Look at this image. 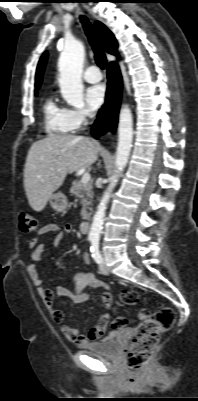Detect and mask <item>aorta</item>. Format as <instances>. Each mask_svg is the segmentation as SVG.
Returning <instances> with one entry per match:
<instances>
[{
    "label": "aorta",
    "instance_id": "1",
    "mask_svg": "<svg viewBox=\"0 0 198 401\" xmlns=\"http://www.w3.org/2000/svg\"><path fill=\"white\" fill-rule=\"evenodd\" d=\"M84 47L78 41L66 43L61 52L58 67L60 72L59 86L62 97L67 104L82 107L83 84L81 80L83 70ZM133 141V117L128 105H124L119 114L118 145L115 159V170L109 179V185L104 192L97 211L95 212L89 231V240L98 241L103 227L105 212L111 192L123 172L131 152Z\"/></svg>",
    "mask_w": 198,
    "mask_h": 401
}]
</instances>
